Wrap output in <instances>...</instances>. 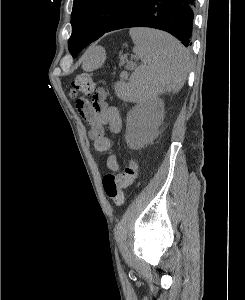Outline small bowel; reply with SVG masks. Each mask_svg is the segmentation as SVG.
I'll return each instance as SVG.
<instances>
[{"label": "small bowel", "instance_id": "small-bowel-1", "mask_svg": "<svg viewBox=\"0 0 245 300\" xmlns=\"http://www.w3.org/2000/svg\"><path fill=\"white\" fill-rule=\"evenodd\" d=\"M77 110L89 128V137L93 141L94 149L107 152L111 148V140L106 134V128L112 133H119L122 120L118 109L107 100L104 88H99L92 96V100L77 101ZM106 165L112 172L120 169L118 156L111 152L106 159Z\"/></svg>", "mask_w": 245, "mask_h": 300}]
</instances>
